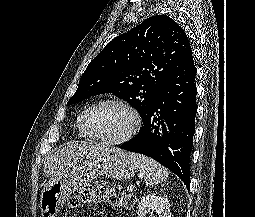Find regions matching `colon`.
<instances>
[{"instance_id":"1","label":"colon","mask_w":255,"mask_h":217,"mask_svg":"<svg viewBox=\"0 0 255 217\" xmlns=\"http://www.w3.org/2000/svg\"><path fill=\"white\" fill-rule=\"evenodd\" d=\"M69 203L72 208L90 203H106L114 208L130 209L134 204V197L119 186L98 183L82 187Z\"/></svg>"}]
</instances>
